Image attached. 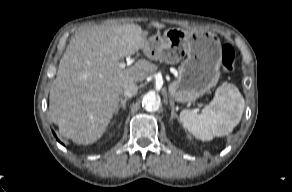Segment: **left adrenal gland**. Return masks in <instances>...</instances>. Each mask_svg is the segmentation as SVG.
Segmentation results:
<instances>
[{
  "mask_svg": "<svg viewBox=\"0 0 292 192\" xmlns=\"http://www.w3.org/2000/svg\"><path fill=\"white\" fill-rule=\"evenodd\" d=\"M170 106H171V117L170 119L173 120L174 118L178 119V116L175 112L174 102L172 99L169 100Z\"/></svg>",
  "mask_w": 292,
  "mask_h": 192,
  "instance_id": "a2214340",
  "label": "left adrenal gland"
}]
</instances>
